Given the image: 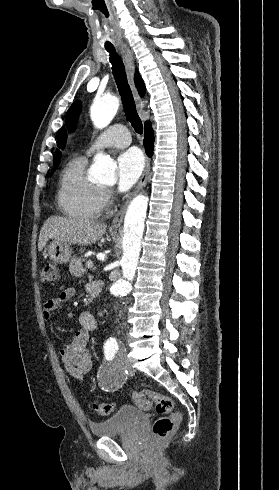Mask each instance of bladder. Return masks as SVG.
Segmentation results:
<instances>
[{
    "label": "bladder",
    "mask_w": 279,
    "mask_h": 490,
    "mask_svg": "<svg viewBox=\"0 0 279 490\" xmlns=\"http://www.w3.org/2000/svg\"><path fill=\"white\" fill-rule=\"evenodd\" d=\"M146 416V412L137 406L122 405L113 417L91 422L90 431L94 437H111L119 432H130Z\"/></svg>",
    "instance_id": "bladder-1"
}]
</instances>
